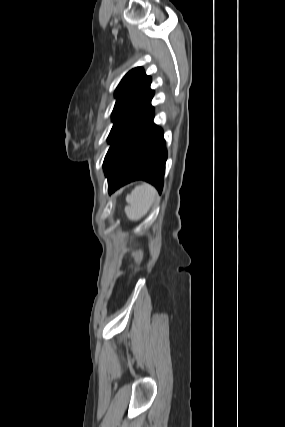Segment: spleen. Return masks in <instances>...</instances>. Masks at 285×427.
<instances>
[{
	"instance_id": "3e777b00",
	"label": "spleen",
	"mask_w": 285,
	"mask_h": 427,
	"mask_svg": "<svg viewBox=\"0 0 285 427\" xmlns=\"http://www.w3.org/2000/svg\"><path fill=\"white\" fill-rule=\"evenodd\" d=\"M156 198L157 192L151 185L136 186L126 197L128 206L125 207V214L127 218L131 221L140 220L150 210Z\"/></svg>"
}]
</instances>
